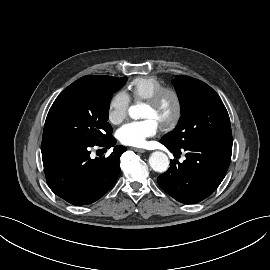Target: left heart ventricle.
Wrapping results in <instances>:
<instances>
[{
    "label": "left heart ventricle",
    "instance_id": "1",
    "mask_svg": "<svg viewBox=\"0 0 270 270\" xmlns=\"http://www.w3.org/2000/svg\"><path fill=\"white\" fill-rule=\"evenodd\" d=\"M174 113V99L171 95H166L157 106L145 103L143 117L154 118L159 125L169 120Z\"/></svg>",
    "mask_w": 270,
    "mask_h": 270
}]
</instances>
